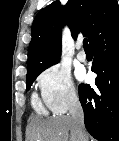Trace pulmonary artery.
<instances>
[{
    "instance_id": "pulmonary-artery-1",
    "label": "pulmonary artery",
    "mask_w": 119,
    "mask_h": 141,
    "mask_svg": "<svg viewBox=\"0 0 119 141\" xmlns=\"http://www.w3.org/2000/svg\"><path fill=\"white\" fill-rule=\"evenodd\" d=\"M78 52H77V58L81 62H85L87 60V55L85 52L82 50V43L78 42L76 46Z\"/></svg>"
}]
</instances>
